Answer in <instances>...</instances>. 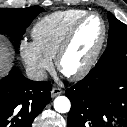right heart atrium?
<instances>
[{"label": "right heart atrium", "mask_w": 127, "mask_h": 127, "mask_svg": "<svg viewBox=\"0 0 127 127\" xmlns=\"http://www.w3.org/2000/svg\"><path fill=\"white\" fill-rule=\"evenodd\" d=\"M19 50L22 61L29 74L36 80L44 79L46 72L53 66L52 60L43 54L32 41L22 40Z\"/></svg>", "instance_id": "d8ad5b80"}]
</instances>
